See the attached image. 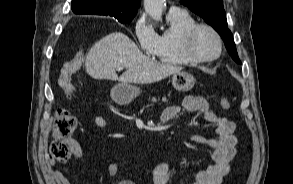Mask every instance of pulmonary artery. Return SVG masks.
Listing matches in <instances>:
<instances>
[{"instance_id":"1","label":"pulmonary artery","mask_w":293,"mask_h":184,"mask_svg":"<svg viewBox=\"0 0 293 184\" xmlns=\"http://www.w3.org/2000/svg\"><path fill=\"white\" fill-rule=\"evenodd\" d=\"M183 9H181L180 7L177 6H171L169 9V13H177V12H182Z\"/></svg>"}]
</instances>
